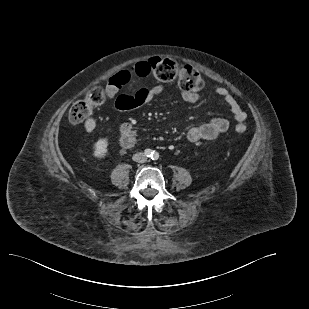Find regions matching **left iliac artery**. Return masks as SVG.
Masks as SVG:
<instances>
[{
    "mask_svg": "<svg viewBox=\"0 0 309 309\" xmlns=\"http://www.w3.org/2000/svg\"><path fill=\"white\" fill-rule=\"evenodd\" d=\"M159 158V154L157 152H153L152 159L157 160Z\"/></svg>",
    "mask_w": 309,
    "mask_h": 309,
    "instance_id": "obj_1",
    "label": "left iliac artery"
}]
</instances>
